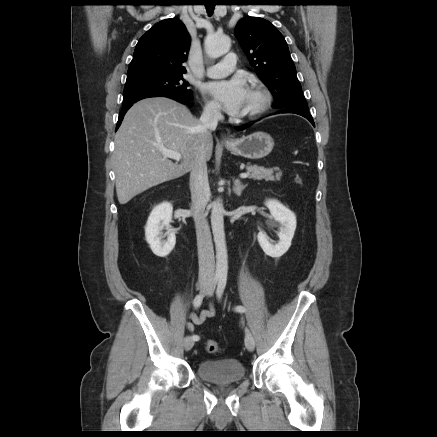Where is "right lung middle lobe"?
I'll list each match as a JSON object with an SVG mask.
<instances>
[{
    "mask_svg": "<svg viewBox=\"0 0 437 437\" xmlns=\"http://www.w3.org/2000/svg\"><path fill=\"white\" fill-rule=\"evenodd\" d=\"M188 86L189 83L184 80L182 73L157 71L127 73L123 105L162 95L192 97Z\"/></svg>",
    "mask_w": 437,
    "mask_h": 437,
    "instance_id": "right-lung-middle-lobe-1",
    "label": "right lung middle lobe"
}]
</instances>
